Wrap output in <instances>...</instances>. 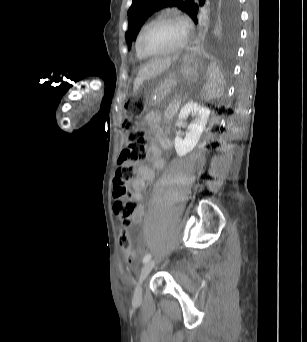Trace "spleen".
Returning <instances> with one entry per match:
<instances>
[{
	"mask_svg": "<svg viewBox=\"0 0 307 342\" xmlns=\"http://www.w3.org/2000/svg\"><path fill=\"white\" fill-rule=\"evenodd\" d=\"M210 61L211 63L207 66L208 83H204V90H207L205 98L215 100L216 95H220L222 84H225L226 79L221 77L222 71L218 70V66L213 63L215 60L212 58Z\"/></svg>",
	"mask_w": 307,
	"mask_h": 342,
	"instance_id": "spleen-1",
	"label": "spleen"
}]
</instances>
